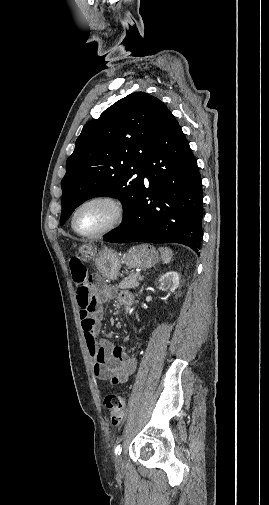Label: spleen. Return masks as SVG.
Listing matches in <instances>:
<instances>
[{
	"label": "spleen",
	"instance_id": "1",
	"mask_svg": "<svg viewBox=\"0 0 269 505\" xmlns=\"http://www.w3.org/2000/svg\"><path fill=\"white\" fill-rule=\"evenodd\" d=\"M159 251H160L161 258H162L163 262L165 264H168L171 261L172 256H173L172 250L167 247H160Z\"/></svg>",
	"mask_w": 269,
	"mask_h": 505
}]
</instances>
